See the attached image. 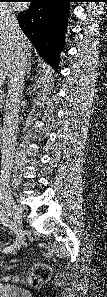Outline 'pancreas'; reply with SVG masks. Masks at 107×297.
Wrapping results in <instances>:
<instances>
[{"label": "pancreas", "mask_w": 107, "mask_h": 297, "mask_svg": "<svg viewBox=\"0 0 107 297\" xmlns=\"http://www.w3.org/2000/svg\"><path fill=\"white\" fill-rule=\"evenodd\" d=\"M3 102V96L1 97V103Z\"/></svg>", "instance_id": "cf45deb5"}]
</instances>
